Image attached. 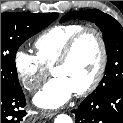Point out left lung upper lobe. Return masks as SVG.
Listing matches in <instances>:
<instances>
[{
  "instance_id": "obj_1",
  "label": "left lung upper lobe",
  "mask_w": 123,
  "mask_h": 123,
  "mask_svg": "<svg viewBox=\"0 0 123 123\" xmlns=\"http://www.w3.org/2000/svg\"><path fill=\"white\" fill-rule=\"evenodd\" d=\"M71 19L94 22L102 31L107 51L105 75L94 92H104L123 87V28L110 15L99 10H83L67 13L61 23Z\"/></svg>"
}]
</instances>
